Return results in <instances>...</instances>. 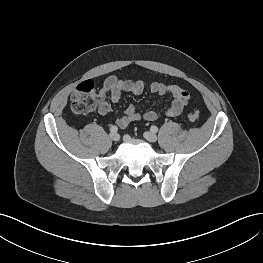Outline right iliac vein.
I'll return each mask as SVG.
<instances>
[{"mask_svg":"<svg viewBox=\"0 0 263 263\" xmlns=\"http://www.w3.org/2000/svg\"><path fill=\"white\" fill-rule=\"evenodd\" d=\"M109 136H110L111 140H113V141H119V139H120L119 134L116 132H111Z\"/></svg>","mask_w":263,"mask_h":263,"instance_id":"right-iliac-vein-1","label":"right iliac vein"}]
</instances>
